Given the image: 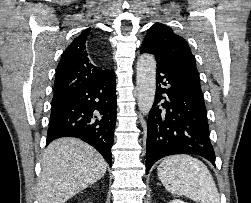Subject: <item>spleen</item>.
<instances>
[{"instance_id": "1", "label": "spleen", "mask_w": 251, "mask_h": 203, "mask_svg": "<svg viewBox=\"0 0 251 203\" xmlns=\"http://www.w3.org/2000/svg\"><path fill=\"white\" fill-rule=\"evenodd\" d=\"M167 191L200 203H220L215 182L207 166L190 155L165 158L157 168Z\"/></svg>"}]
</instances>
